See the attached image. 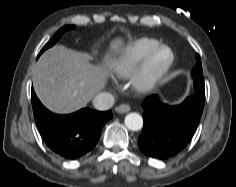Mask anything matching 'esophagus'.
I'll use <instances>...</instances> for the list:
<instances>
[{
  "label": "esophagus",
  "instance_id": "1",
  "mask_svg": "<svg viewBox=\"0 0 236 187\" xmlns=\"http://www.w3.org/2000/svg\"><path fill=\"white\" fill-rule=\"evenodd\" d=\"M130 106L127 104H121L118 107H116V111L120 114H124L130 111Z\"/></svg>",
  "mask_w": 236,
  "mask_h": 187
}]
</instances>
